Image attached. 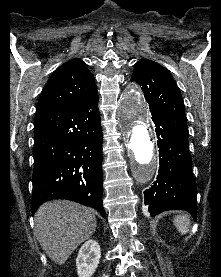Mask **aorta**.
Masks as SVG:
<instances>
[{
    "instance_id": "1",
    "label": "aorta",
    "mask_w": 221,
    "mask_h": 277,
    "mask_svg": "<svg viewBox=\"0 0 221 277\" xmlns=\"http://www.w3.org/2000/svg\"><path fill=\"white\" fill-rule=\"evenodd\" d=\"M118 117L127 147L134 158V177L138 182L146 183L157 170V159L150 136L148 112L135 86L125 91L119 99Z\"/></svg>"
}]
</instances>
